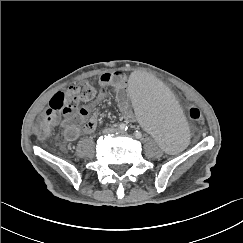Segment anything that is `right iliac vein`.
<instances>
[{
  "label": "right iliac vein",
  "instance_id": "1",
  "mask_svg": "<svg viewBox=\"0 0 243 243\" xmlns=\"http://www.w3.org/2000/svg\"><path fill=\"white\" fill-rule=\"evenodd\" d=\"M115 131L114 128L112 127H107L105 129H103V134H109V133H113Z\"/></svg>",
  "mask_w": 243,
  "mask_h": 243
}]
</instances>
